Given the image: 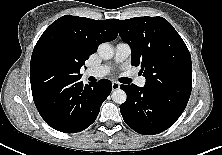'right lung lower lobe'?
Returning a JSON list of instances; mask_svg holds the SVG:
<instances>
[{"label":"right lung lower lobe","instance_id":"right-lung-lower-lobe-1","mask_svg":"<svg viewBox=\"0 0 222 155\" xmlns=\"http://www.w3.org/2000/svg\"><path fill=\"white\" fill-rule=\"evenodd\" d=\"M81 78L33 91L34 103L44 121L57 131L81 132L97 118L112 89L109 81L83 84Z\"/></svg>","mask_w":222,"mask_h":155}]
</instances>
